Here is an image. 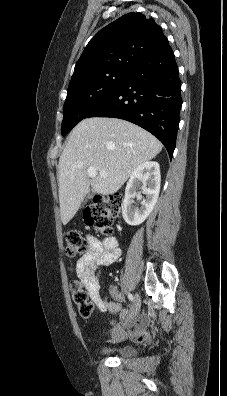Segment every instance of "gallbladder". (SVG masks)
<instances>
[{
	"label": "gallbladder",
	"instance_id": "obj_1",
	"mask_svg": "<svg viewBox=\"0 0 227 396\" xmlns=\"http://www.w3.org/2000/svg\"><path fill=\"white\" fill-rule=\"evenodd\" d=\"M93 195H94V191H93V190H91V191L89 192V194H88L87 198H91Z\"/></svg>",
	"mask_w": 227,
	"mask_h": 396
}]
</instances>
